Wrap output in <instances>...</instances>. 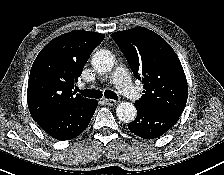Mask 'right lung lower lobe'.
Masks as SVG:
<instances>
[{
  "mask_svg": "<svg viewBox=\"0 0 224 175\" xmlns=\"http://www.w3.org/2000/svg\"><path fill=\"white\" fill-rule=\"evenodd\" d=\"M97 104L96 100H92L76 107L61 109L36 122L55 139H73L87 128Z\"/></svg>",
  "mask_w": 224,
  "mask_h": 175,
  "instance_id": "98d812e1",
  "label": "right lung lower lobe"
}]
</instances>
